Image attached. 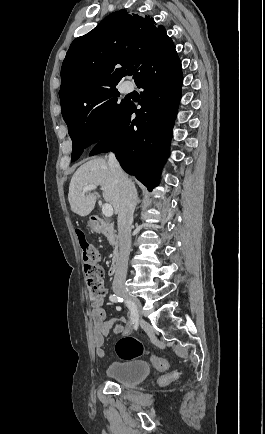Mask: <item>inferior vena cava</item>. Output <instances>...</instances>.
Listing matches in <instances>:
<instances>
[{"instance_id":"602c4592","label":"inferior vena cava","mask_w":265,"mask_h":434,"mask_svg":"<svg viewBox=\"0 0 265 434\" xmlns=\"http://www.w3.org/2000/svg\"><path fill=\"white\" fill-rule=\"evenodd\" d=\"M108 166L114 170L120 190V208L118 214L119 254L117 270L114 276V282H120V280H126L127 276L131 248V226L137 204V192L133 182L122 172L115 154H109Z\"/></svg>"}]
</instances>
